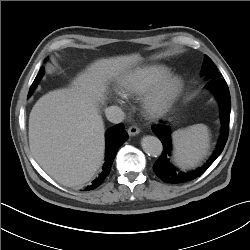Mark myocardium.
<instances>
[{
    "mask_svg": "<svg viewBox=\"0 0 250 250\" xmlns=\"http://www.w3.org/2000/svg\"><path fill=\"white\" fill-rule=\"evenodd\" d=\"M180 76L169 75L156 82L143 96L142 108L151 119L166 114L183 91Z\"/></svg>",
    "mask_w": 250,
    "mask_h": 250,
    "instance_id": "1",
    "label": "myocardium"
}]
</instances>
